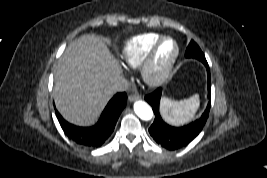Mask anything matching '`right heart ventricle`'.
<instances>
[{"mask_svg":"<svg viewBox=\"0 0 267 178\" xmlns=\"http://www.w3.org/2000/svg\"><path fill=\"white\" fill-rule=\"evenodd\" d=\"M161 37L157 33H145L130 38L124 42L120 49L121 59L133 68L139 67Z\"/></svg>","mask_w":267,"mask_h":178,"instance_id":"e07e8e85","label":"right heart ventricle"}]
</instances>
